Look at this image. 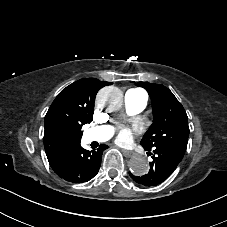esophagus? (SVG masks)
<instances>
[{
    "mask_svg": "<svg viewBox=\"0 0 227 227\" xmlns=\"http://www.w3.org/2000/svg\"><path fill=\"white\" fill-rule=\"evenodd\" d=\"M123 153L128 156V157H132L135 155V152L134 151H130V150H125V149H122Z\"/></svg>",
    "mask_w": 227,
    "mask_h": 227,
    "instance_id": "esophagus-1",
    "label": "esophagus"
}]
</instances>
